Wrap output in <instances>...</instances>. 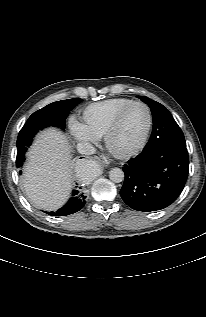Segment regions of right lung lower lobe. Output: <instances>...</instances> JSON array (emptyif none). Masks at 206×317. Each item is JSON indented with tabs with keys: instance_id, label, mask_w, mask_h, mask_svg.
I'll use <instances>...</instances> for the list:
<instances>
[{
	"instance_id": "98d812e1",
	"label": "right lung lower lobe",
	"mask_w": 206,
	"mask_h": 317,
	"mask_svg": "<svg viewBox=\"0 0 206 317\" xmlns=\"http://www.w3.org/2000/svg\"><path fill=\"white\" fill-rule=\"evenodd\" d=\"M85 198L86 196L83 192L73 190L72 197L62 208L56 212H49L48 214L51 216H66L78 212L84 207L86 203Z\"/></svg>"
}]
</instances>
